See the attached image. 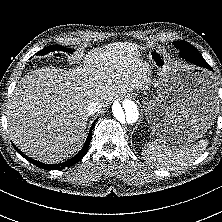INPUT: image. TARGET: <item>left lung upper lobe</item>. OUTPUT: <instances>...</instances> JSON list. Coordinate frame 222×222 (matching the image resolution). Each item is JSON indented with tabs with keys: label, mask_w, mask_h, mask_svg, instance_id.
<instances>
[{
	"label": "left lung upper lobe",
	"mask_w": 222,
	"mask_h": 222,
	"mask_svg": "<svg viewBox=\"0 0 222 222\" xmlns=\"http://www.w3.org/2000/svg\"><path fill=\"white\" fill-rule=\"evenodd\" d=\"M174 46L180 50V56L186 58L187 56L193 57L194 59L200 61L202 64H208L197 49L186 41H175Z\"/></svg>",
	"instance_id": "5c2ea615"
}]
</instances>
